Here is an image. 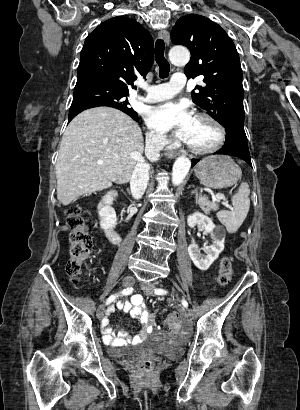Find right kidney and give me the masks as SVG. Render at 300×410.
<instances>
[{"mask_svg":"<svg viewBox=\"0 0 300 410\" xmlns=\"http://www.w3.org/2000/svg\"><path fill=\"white\" fill-rule=\"evenodd\" d=\"M112 201L111 196H106L99 206L100 226L103 230L115 228L117 224L116 213L111 206Z\"/></svg>","mask_w":300,"mask_h":410,"instance_id":"obj_1","label":"right kidney"}]
</instances>
